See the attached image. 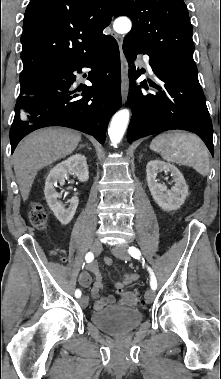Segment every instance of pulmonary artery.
<instances>
[{
    "label": "pulmonary artery",
    "mask_w": 221,
    "mask_h": 379,
    "mask_svg": "<svg viewBox=\"0 0 221 379\" xmlns=\"http://www.w3.org/2000/svg\"><path fill=\"white\" fill-rule=\"evenodd\" d=\"M143 60L145 62V65H146L148 71L152 74L153 70H152V67H151L150 62H149V57L148 56H144Z\"/></svg>",
    "instance_id": "1"
}]
</instances>
